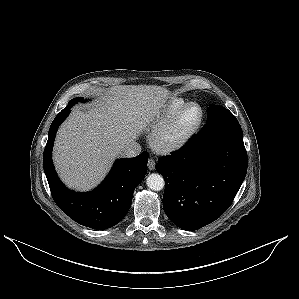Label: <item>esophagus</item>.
I'll list each match as a JSON object with an SVG mask.
<instances>
[{
    "label": "esophagus",
    "instance_id": "1",
    "mask_svg": "<svg viewBox=\"0 0 299 299\" xmlns=\"http://www.w3.org/2000/svg\"><path fill=\"white\" fill-rule=\"evenodd\" d=\"M148 168H149V170H154L155 169L154 159H152V158L148 159Z\"/></svg>",
    "mask_w": 299,
    "mask_h": 299
}]
</instances>
